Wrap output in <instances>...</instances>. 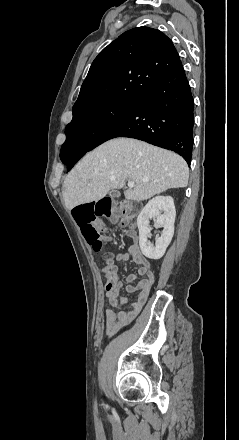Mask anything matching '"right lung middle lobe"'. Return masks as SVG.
I'll return each instance as SVG.
<instances>
[{
	"mask_svg": "<svg viewBox=\"0 0 239 440\" xmlns=\"http://www.w3.org/2000/svg\"><path fill=\"white\" fill-rule=\"evenodd\" d=\"M136 99L118 96L73 114L72 121L66 126V141L61 151L68 148L88 149L102 132L124 116Z\"/></svg>",
	"mask_w": 239,
	"mask_h": 440,
	"instance_id": "obj_1",
	"label": "right lung middle lobe"
}]
</instances>
